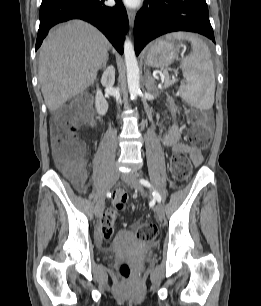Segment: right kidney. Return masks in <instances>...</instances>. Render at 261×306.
I'll use <instances>...</instances> for the list:
<instances>
[{
	"label": "right kidney",
	"mask_w": 261,
	"mask_h": 306,
	"mask_svg": "<svg viewBox=\"0 0 261 306\" xmlns=\"http://www.w3.org/2000/svg\"><path fill=\"white\" fill-rule=\"evenodd\" d=\"M115 82V69L113 66H109L103 73L101 83L105 87H111ZM95 108L99 115H105L108 110V103L104 98L100 89H97L95 96Z\"/></svg>",
	"instance_id": "obj_1"
}]
</instances>
